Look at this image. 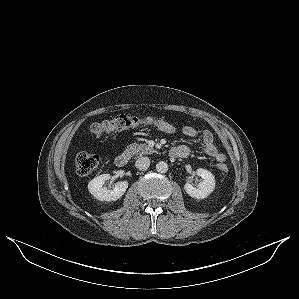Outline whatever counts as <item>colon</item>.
<instances>
[{"mask_svg": "<svg viewBox=\"0 0 299 299\" xmlns=\"http://www.w3.org/2000/svg\"><path fill=\"white\" fill-rule=\"evenodd\" d=\"M138 126H153L169 135L177 133V127L169 121L159 118L145 117L140 118L131 115H117L112 119L104 120L102 122L93 123L89 128V134L92 136H99L104 132L114 130H126ZM99 164V157L97 155L80 152L75 157V170L80 176H86L96 170ZM219 170L227 172L228 167L226 164H219Z\"/></svg>", "mask_w": 299, "mask_h": 299, "instance_id": "colon-1", "label": "colon"}]
</instances>
